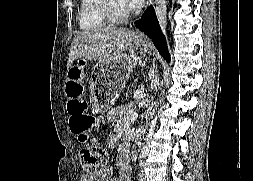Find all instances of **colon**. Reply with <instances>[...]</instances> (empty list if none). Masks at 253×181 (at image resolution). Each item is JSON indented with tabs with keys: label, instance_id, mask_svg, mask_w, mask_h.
<instances>
[{
	"label": "colon",
	"instance_id": "colon-1",
	"mask_svg": "<svg viewBox=\"0 0 253 181\" xmlns=\"http://www.w3.org/2000/svg\"><path fill=\"white\" fill-rule=\"evenodd\" d=\"M65 94L70 129L80 139L85 140L88 132L94 127L96 119L87 112L88 102L84 98L83 71L75 65L67 70ZM81 159L83 168L89 174H96L103 169L107 155L103 148L87 145L81 151Z\"/></svg>",
	"mask_w": 253,
	"mask_h": 181
}]
</instances>
